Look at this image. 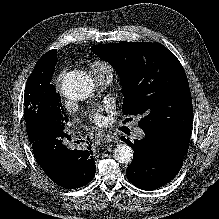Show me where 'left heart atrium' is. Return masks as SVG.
<instances>
[{
	"label": "left heart atrium",
	"mask_w": 219,
	"mask_h": 219,
	"mask_svg": "<svg viewBox=\"0 0 219 219\" xmlns=\"http://www.w3.org/2000/svg\"><path fill=\"white\" fill-rule=\"evenodd\" d=\"M111 107L108 105L99 106L88 113L87 118L90 122L96 125H104L107 121L104 113L110 111Z\"/></svg>",
	"instance_id": "1"
}]
</instances>
